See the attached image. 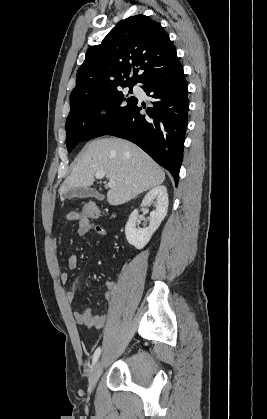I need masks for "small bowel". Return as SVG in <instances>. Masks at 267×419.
<instances>
[{"mask_svg": "<svg viewBox=\"0 0 267 419\" xmlns=\"http://www.w3.org/2000/svg\"><path fill=\"white\" fill-rule=\"evenodd\" d=\"M66 219L68 221L76 222L77 227V234L79 236H84L90 232L94 233L97 236H105L107 231L106 229L99 225L94 224L88 219H84L79 212H70L66 215ZM54 248H56V241H54ZM78 265V259L76 256H71L68 259V267L70 269H76ZM59 279L61 283L65 284L69 280V274L67 272H61L59 275ZM79 281L76 280L73 283V286L71 290L66 292V297L70 302L75 301L78 290H79ZM115 289V283L111 280H107L105 282V291H104V297L106 300H111L114 294ZM73 317L76 323L80 325H85L89 328H95V329H101L103 328L107 321L108 316L106 314L102 315H95L93 314L92 310L90 308H86L81 311H75L73 313Z\"/></svg>", "mask_w": 267, "mask_h": 419, "instance_id": "1", "label": "small bowel"}]
</instances>
